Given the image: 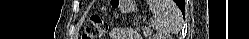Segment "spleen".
<instances>
[{"instance_id": "spleen-1", "label": "spleen", "mask_w": 249, "mask_h": 39, "mask_svg": "<svg viewBox=\"0 0 249 39\" xmlns=\"http://www.w3.org/2000/svg\"><path fill=\"white\" fill-rule=\"evenodd\" d=\"M149 8L153 13L152 27L157 32V37L162 39L170 33L173 23L180 22L181 14L176 6L170 7L169 0H149Z\"/></svg>"}]
</instances>
